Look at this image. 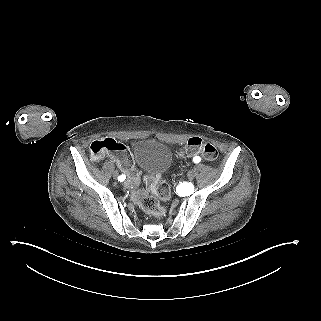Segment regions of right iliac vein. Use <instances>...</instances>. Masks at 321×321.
I'll return each instance as SVG.
<instances>
[{
  "label": "right iliac vein",
  "mask_w": 321,
  "mask_h": 321,
  "mask_svg": "<svg viewBox=\"0 0 321 321\" xmlns=\"http://www.w3.org/2000/svg\"><path fill=\"white\" fill-rule=\"evenodd\" d=\"M112 175H113V178H114V179L119 178V177H118V172H117V171H113V174H112Z\"/></svg>",
  "instance_id": "63e3f726"
}]
</instances>
